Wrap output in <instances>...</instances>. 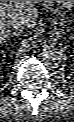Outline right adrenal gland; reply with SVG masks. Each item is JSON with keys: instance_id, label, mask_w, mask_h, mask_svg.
<instances>
[{"instance_id": "1", "label": "right adrenal gland", "mask_w": 74, "mask_h": 122, "mask_svg": "<svg viewBox=\"0 0 74 122\" xmlns=\"http://www.w3.org/2000/svg\"><path fill=\"white\" fill-rule=\"evenodd\" d=\"M20 33L21 32H12V33H8L7 35H6V38L9 40L10 38H12V37H19L20 36Z\"/></svg>"}]
</instances>
